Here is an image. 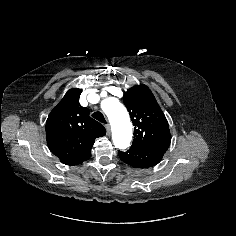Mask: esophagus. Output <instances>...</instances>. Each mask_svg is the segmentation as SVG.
I'll use <instances>...</instances> for the list:
<instances>
[{
    "instance_id": "obj_1",
    "label": "esophagus",
    "mask_w": 236,
    "mask_h": 236,
    "mask_svg": "<svg viewBox=\"0 0 236 236\" xmlns=\"http://www.w3.org/2000/svg\"><path fill=\"white\" fill-rule=\"evenodd\" d=\"M105 128H106V130H107V134L110 135V132H111L110 125H109V124H106V125H105Z\"/></svg>"
}]
</instances>
